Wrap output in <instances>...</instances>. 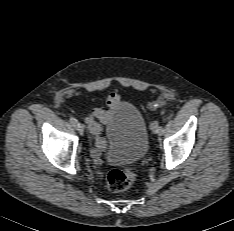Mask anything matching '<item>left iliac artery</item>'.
Wrapping results in <instances>:
<instances>
[{
	"instance_id": "left-iliac-artery-1",
	"label": "left iliac artery",
	"mask_w": 234,
	"mask_h": 231,
	"mask_svg": "<svg viewBox=\"0 0 234 231\" xmlns=\"http://www.w3.org/2000/svg\"><path fill=\"white\" fill-rule=\"evenodd\" d=\"M158 133H159L160 135H162V134L164 133V128H163L162 125H160V126L158 127Z\"/></svg>"
}]
</instances>
